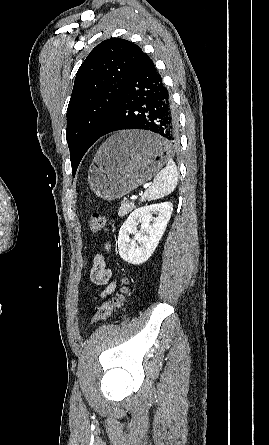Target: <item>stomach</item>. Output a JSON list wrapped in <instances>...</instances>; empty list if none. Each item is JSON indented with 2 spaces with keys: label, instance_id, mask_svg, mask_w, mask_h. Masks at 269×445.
I'll use <instances>...</instances> for the list:
<instances>
[{
  "label": "stomach",
  "instance_id": "obj_1",
  "mask_svg": "<svg viewBox=\"0 0 269 445\" xmlns=\"http://www.w3.org/2000/svg\"><path fill=\"white\" fill-rule=\"evenodd\" d=\"M166 141L150 132L122 131L99 148L89 170L93 192L116 200L155 175L168 160Z\"/></svg>",
  "mask_w": 269,
  "mask_h": 445
}]
</instances>
